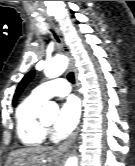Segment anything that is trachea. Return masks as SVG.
I'll return each instance as SVG.
<instances>
[{
	"instance_id": "obj_1",
	"label": "trachea",
	"mask_w": 135,
	"mask_h": 166,
	"mask_svg": "<svg viewBox=\"0 0 135 166\" xmlns=\"http://www.w3.org/2000/svg\"><path fill=\"white\" fill-rule=\"evenodd\" d=\"M55 38L58 40V38L55 36ZM68 80L71 82V83H75V77H74V73L73 72H70L67 76Z\"/></svg>"
}]
</instances>
